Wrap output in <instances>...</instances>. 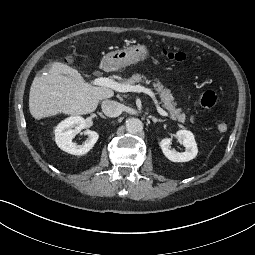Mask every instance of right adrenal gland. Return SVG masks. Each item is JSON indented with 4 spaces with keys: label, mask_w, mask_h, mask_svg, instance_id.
I'll list each match as a JSON object with an SVG mask.
<instances>
[{
    "label": "right adrenal gland",
    "mask_w": 255,
    "mask_h": 255,
    "mask_svg": "<svg viewBox=\"0 0 255 255\" xmlns=\"http://www.w3.org/2000/svg\"><path fill=\"white\" fill-rule=\"evenodd\" d=\"M99 115L101 118L106 119V117L102 113H100Z\"/></svg>",
    "instance_id": "1"
}]
</instances>
